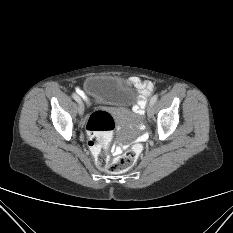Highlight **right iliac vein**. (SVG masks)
<instances>
[{"label":"right iliac vein","instance_id":"right-iliac-vein-1","mask_svg":"<svg viewBox=\"0 0 233 233\" xmlns=\"http://www.w3.org/2000/svg\"><path fill=\"white\" fill-rule=\"evenodd\" d=\"M77 103H78V112L80 115H83L84 113V104H83V101L81 100V98L78 96L77 97Z\"/></svg>","mask_w":233,"mask_h":233}]
</instances>
